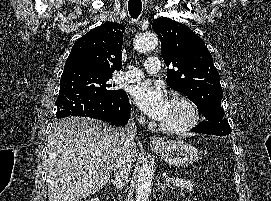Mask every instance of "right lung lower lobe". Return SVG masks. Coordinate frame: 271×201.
<instances>
[{
	"instance_id": "right-lung-lower-lobe-1",
	"label": "right lung lower lobe",
	"mask_w": 271,
	"mask_h": 201,
	"mask_svg": "<svg viewBox=\"0 0 271 201\" xmlns=\"http://www.w3.org/2000/svg\"><path fill=\"white\" fill-rule=\"evenodd\" d=\"M55 105L57 118L87 116L118 126L125 124L130 117V103L124 90L115 95L59 93Z\"/></svg>"
}]
</instances>
